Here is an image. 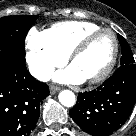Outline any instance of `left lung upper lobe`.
<instances>
[{"mask_svg":"<svg viewBox=\"0 0 136 136\" xmlns=\"http://www.w3.org/2000/svg\"><path fill=\"white\" fill-rule=\"evenodd\" d=\"M117 36L121 46V53H122L120 65L123 66L128 64H135V60L133 58L132 51L128 43L121 35L118 34Z\"/></svg>","mask_w":136,"mask_h":136,"instance_id":"obj_1","label":"left lung upper lobe"}]
</instances>
